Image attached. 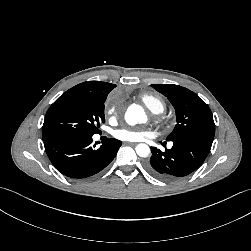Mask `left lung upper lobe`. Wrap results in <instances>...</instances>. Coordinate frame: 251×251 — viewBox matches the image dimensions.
Masks as SVG:
<instances>
[{
  "instance_id": "5c2ea615",
  "label": "left lung upper lobe",
  "mask_w": 251,
  "mask_h": 251,
  "mask_svg": "<svg viewBox=\"0 0 251 251\" xmlns=\"http://www.w3.org/2000/svg\"><path fill=\"white\" fill-rule=\"evenodd\" d=\"M152 87L166 96L176 111L177 124L167 141L184 137L214 139L215 124L211 110L197 94L174 84H154Z\"/></svg>"
}]
</instances>
